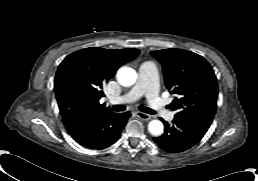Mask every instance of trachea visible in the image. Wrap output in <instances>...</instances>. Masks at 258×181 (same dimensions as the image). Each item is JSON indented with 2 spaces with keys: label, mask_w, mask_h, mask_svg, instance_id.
Listing matches in <instances>:
<instances>
[{
  "label": "trachea",
  "mask_w": 258,
  "mask_h": 181,
  "mask_svg": "<svg viewBox=\"0 0 258 181\" xmlns=\"http://www.w3.org/2000/svg\"><path fill=\"white\" fill-rule=\"evenodd\" d=\"M113 109L114 111L116 112H120V111H124L126 109V107L124 105H114L113 106ZM139 109L142 111V112H145L147 114H155V112L148 108V107H145V106H140Z\"/></svg>",
  "instance_id": "3493384b"
}]
</instances>
